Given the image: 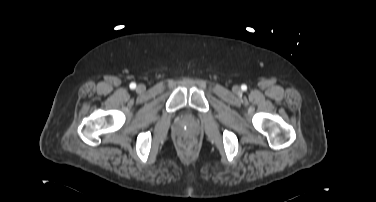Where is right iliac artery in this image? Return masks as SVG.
Here are the masks:
<instances>
[{"label":"right iliac artery","mask_w":376,"mask_h":202,"mask_svg":"<svg viewBox=\"0 0 376 202\" xmlns=\"http://www.w3.org/2000/svg\"><path fill=\"white\" fill-rule=\"evenodd\" d=\"M130 88H131V89H135V88H136V84H135L134 82L131 83V84H130Z\"/></svg>","instance_id":"obj_1"}]
</instances>
